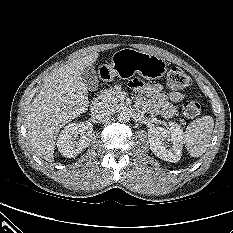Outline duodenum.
Listing matches in <instances>:
<instances>
[{"label":"duodenum","instance_id":"410a0bca","mask_svg":"<svg viewBox=\"0 0 233 233\" xmlns=\"http://www.w3.org/2000/svg\"><path fill=\"white\" fill-rule=\"evenodd\" d=\"M100 100H101V96L96 95L91 101V106L96 107L99 104Z\"/></svg>","mask_w":233,"mask_h":233}]
</instances>
